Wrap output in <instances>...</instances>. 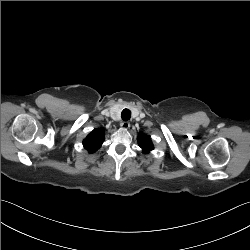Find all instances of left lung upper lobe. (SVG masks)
I'll use <instances>...</instances> for the list:
<instances>
[{"label":"left lung upper lobe","instance_id":"5c2ea615","mask_svg":"<svg viewBox=\"0 0 250 250\" xmlns=\"http://www.w3.org/2000/svg\"><path fill=\"white\" fill-rule=\"evenodd\" d=\"M139 146L144 150L145 153H148L150 150L153 149V144L148 136L145 134L139 135L138 140Z\"/></svg>","mask_w":250,"mask_h":250}]
</instances>
